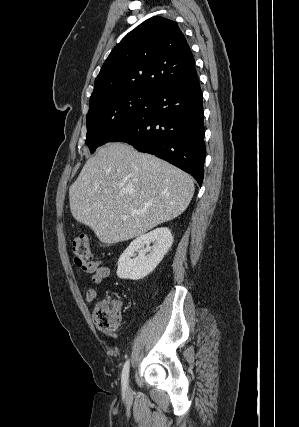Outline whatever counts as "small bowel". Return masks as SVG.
<instances>
[{"label": "small bowel", "mask_w": 299, "mask_h": 427, "mask_svg": "<svg viewBox=\"0 0 299 427\" xmlns=\"http://www.w3.org/2000/svg\"><path fill=\"white\" fill-rule=\"evenodd\" d=\"M79 266L84 272L90 274L89 280L92 285L88 288L86 292L85 300L87 303L91 304L97 298V290L95 286L109 277L110 269L107 266H104L100 259H96L93 262H89Z\"/></svg>", "instance_id": "c3829d8e"}]
</instances>
